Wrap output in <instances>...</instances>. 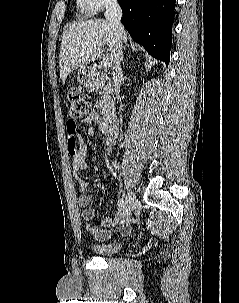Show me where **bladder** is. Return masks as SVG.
Returning a JSON list of instances; mask_svg holds the SVG:
<instances>
[{
	"label": "bladder",
	"instance_id": "obj_1",
	"mask_svg": "<svg viewBox=\"0 0 239 303\" xmlns=\"http://www.w3.org/2000/svg\"><path fill=\"white\" fill-rule=\"evenodd\" d=\"M123 247V242L96 243L92 245V250L98 256H111L117 254Z\"/></svg>",
	"mask_w": 239,
	"mask_h": 303
}]
</instances>
